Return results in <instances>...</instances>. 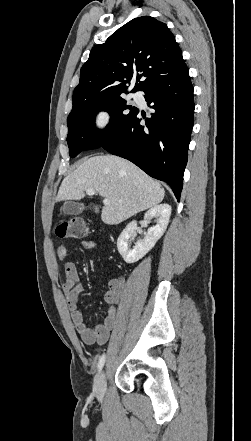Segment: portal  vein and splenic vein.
I'll return each mask as SVG.
<instances>
[{
	"instance_id": "18ae733b",
	"label": "portal vein and splenic vein",
	"mask_w": 251,
	"mask_h": 441,
	"mask_svg": "<svg viewBox=\"0 0 251 441\" xmlns=\"http://www.w3.org/2000/svg\"><path fill=\"white\" fill-rule=\"evenodd\" d=\"M95 193H96V191H95L94 189H92V188L86 190V194L89 195V196H93ZM103 203H104L105 205H108V204H110V200L107 199V198H105V199L103 200Z\"/></svg>"
}]
</instances>
